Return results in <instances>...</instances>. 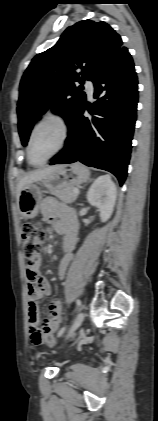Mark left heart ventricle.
Here are the masks:
<instances>
[{
  "label": "left heart ventricle",
  "mask_w": 158,
  "mask_h": 421,
  "mask_svg": "<svg viewBox=\"0 0 158 421\" xmlns=\"http://www.w3.org/2000/svg\"><path fill=\"white\" fill-rule=\"evenodd\" d=\"M61 129L54 122H47L40 126L31 141L30 155L34 163H39L51 155L59 146Z\"/></svg>",
  "instance_id": "1"
}]
</instances>
